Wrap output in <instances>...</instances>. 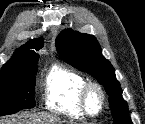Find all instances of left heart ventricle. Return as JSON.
I'll use <instances>...</instances> for the list:
<instances>
[{
	"mask_svg": "<svg viewBox=\"0 0 145 124\" xmlns=\"http://www.w3.org/2000/svg\"><path fill=\"white\" fill-rule=\"evenodd\" d=\"M99 105V96L97 93H92L89 98V107L91 110H96Z\"/></svg>",
	"mask_w": 145,
	"mask_h": 124,
	"instance_id": "b2bd125f",
	"label": "left heart ventricle"
}]
</instances>
